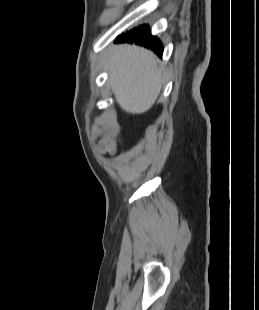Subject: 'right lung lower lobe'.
I'll return each mask as SVG.
<instances>
[{"mask_svg":"<svg viewBox=\"0 0 259 310\" xmlns=\"http://www.w3.org/2000/svg\"><path fill=\"white\" fill-rule=\"evenodd\" d=\"M118 41L144 45L146 48L152 49L158 56L163 53V45L157 37L151 35L147 25H142L119 36Z\"/></svg>","mask_w":259,"mask_h":310,"instance_id":"98d812e1","label":"right lung lower lobe"}]
</instances>
